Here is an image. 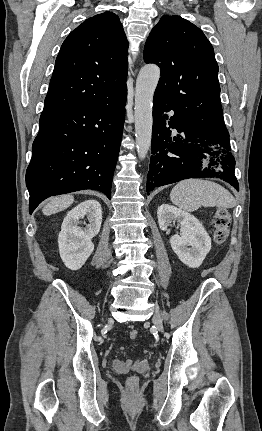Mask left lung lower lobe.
Returning <instances> with one entry per match:
<instances>
[{
  "label": "left lung lower lobe",
  "mask_w": 262,
  "mask_h": 431,
  "mask_svg": "<svg viewBox=\"0 0 262 431\" xmlns=\"http://www.w3.org/2000/svg\"><path fill=\"white\" fill-rule=\"evenodd\" d=\"M170 110L173 109L168 101L155 93L147 194L163 185L203 177L220 178L239 190L228 131L205 134L176 113L170 117L167 114ZM170 128L179 134L173 136Z\"/></svg>",
  "instance_id": "obj_1"
}]
</instances>
